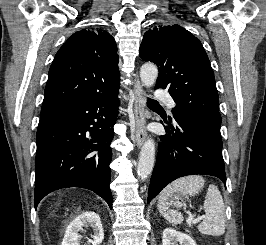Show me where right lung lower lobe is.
<instances>
[{
  "instance_id": "obj_1",
  "label": "right lung lower lobe",
  "mask_w": 266,
  "mask_h": 245,
  "mask_svg": "<svg viewBox=\"0 0 266 245\" xmlns=\"http://www.w3.org/2000/svg\"><path fill=\"white\" fill-rule=\"evenodd\" d=\"M118 90L72 102L43 117L37 129L35 209L47 194L67 187L94 191L112 209L113 125Z\"/></svg>"
}]
</instances>
